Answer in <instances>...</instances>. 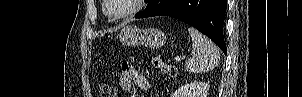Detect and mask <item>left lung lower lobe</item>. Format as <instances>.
I'll return each instance as SVG.
<instances>
[{
	"label": "left lung lower lobe",
	"mask_w": 302,
	"mask_h": 97,
	"mask_svg": "<svg viewBox=\"0 0 302 97\" xmlns=\"http://www.w3.org/2000/svg\"><path fill=\"white\" fill-rule=\"evenodd\" d=\"M227 0H152L135 18L170 16L198 29L226 53L223 22Z\"/></svg>",
	"instance_id": "0a47b994"
}]
</instances>
